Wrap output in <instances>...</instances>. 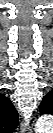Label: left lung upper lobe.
Instances as JSON below:
<instances>
[{
	"label": "left lung upper lobe",
	"instance_id": "5c2ea615",
	"mask_svg": "<svg viewBox=\"0 0 53 133\" xmlns=\"http://www.w3.org/2000/svg\"><path fill=\"white\" fill-rule=\"evenodd\" d=\"M40 112L42 114H53V94L48 93L40 104Z\"/></svg>",
	"mask_w": 53,
	"mask_h": 133
}]
</instances>
